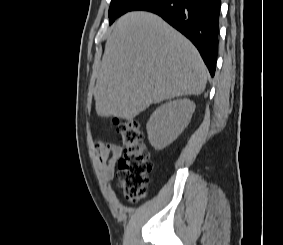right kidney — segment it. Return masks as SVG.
<instances>
[{
    "label": "right kidney",
    "instance_id": "right-kidney-1",
    "mask_svg": "<svg viewBox=\"0 0 283 245\" xmlns=\"http://www.w3.org/2000/svg\"><path fill=\"white\" fill-rule=\"evenodd\" d=\"M195 103L189 99H177L159 106L147 123L148 139L155 149H163L172 143L191 120Z\"/></svg>",
    "mask_w": 283,
    "mask_h": 245
}]
</instances>
